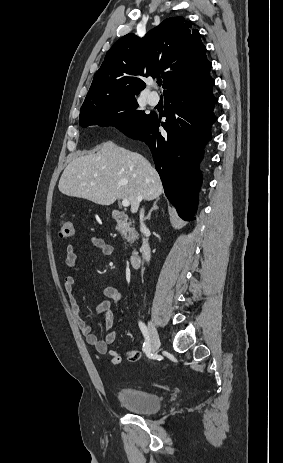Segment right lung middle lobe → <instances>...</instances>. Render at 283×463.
Returning a JSON list of instances; mask_svg holds the SVG:
<instances>
[{
    "label": "right lung middle lobe",
    "instance_id": "right-lung-middle-lobe-1",
    "mask_svg": "<svg viewBox=\"0 0 283 463\" xmlns=\"http://www.w3.org/2000/svg\"><path fill=\"white\" fill-rule=\"evenodd\" d=\"M137 107L135 97H114L85 104L81 107L79 124L82 127L112 125L129 135L141 128L150 116Z\"/></svg>",
    "mask_w": 283,
    "mask_h": 463
}]
</instances>
